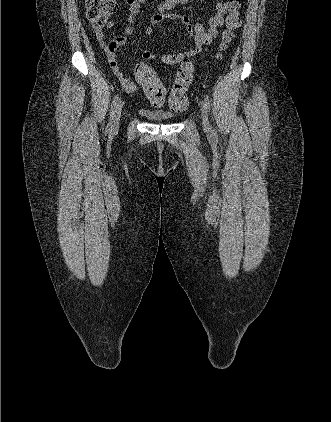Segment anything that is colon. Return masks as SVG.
<instances>
[{"mask_svg": "<svg viewBox=\"0 0 331 422\" xmlns=\"http://www.w3.org/2000/svg\"><path fill=\"white\" fill-rule=\"evenodd\" d=\"M230 9L221 35L219 50L225 51L234 39V32L241 24L240 11L242 0H229ZM87 19L101 26L117 10V0H84ZM195 66L191 59L184 60L176 73L171 92L169 107L174 112H182L188 106L187 92L193 82ZM135 77L143 85L145 96L151 102H158L165 97V87L160 83L155 71L146 64L135 67Z\"/></svg>", "mask_w": 331, "mask_h": 422, "instance_id": "1", "label": "colon"}]
</instances>
